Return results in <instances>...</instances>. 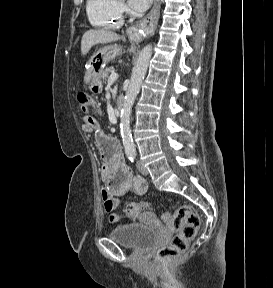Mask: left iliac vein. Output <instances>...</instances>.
Masks as SVG:
<instances>
[{"mask_svg":"<svg viewBox=\"0 0 273 288\" xmlns=\"http://www.w3.org/2000/svg\"><path fill=\"white\" fill-rule=\"evenodd\" d=\"M137 168L141 174L148 175V170L141 161L137 162Z\"/></svg>","mask_w":273,"mask_h":288,"instance_id":"left-iliac-vein-1","label":"left iliac vein"}]
</instances>
